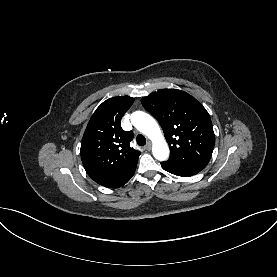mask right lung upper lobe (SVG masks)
<instances>
[{"instance_id": "right-lung-upper-lobe-1", "label": "right lung upper lobe", "mask_w": 277, "mask_h": 277, "mask_svg": "<svg viewBox=\"0 0 277 277\" xmlns=\"http://www.w3.org/2000/svg\"><path fill=\"white\" fill-rule=\"evenodd\" d=\"M129 96L112 97L93 113L81 142V159L87 174L104 187H121L134 174L140 152L130 147L131 131L120 121L133 104Z\"/></svg>"}]
</instances>
